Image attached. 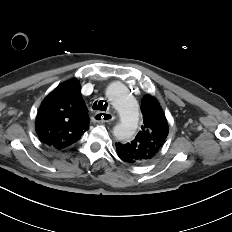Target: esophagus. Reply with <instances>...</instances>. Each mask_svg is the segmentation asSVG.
<instances>
[{
  "label": "esophagus",
  "mask_w": 232,
  "mask_h": 232,
  "mask_svg": "<svg viewBox=\"0 0 232 232\" xmlns=\"http://www.w3.org/2000/svg\"><path fill=\"white\" fill-rule=\"evenodd\" d=\"M93 121L98 123L110 122L114 119L113 114L110 112H96L93 117Z\"/></svg>",
  "instance_id": "34e87169"
}]
</instances>
